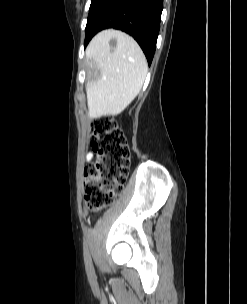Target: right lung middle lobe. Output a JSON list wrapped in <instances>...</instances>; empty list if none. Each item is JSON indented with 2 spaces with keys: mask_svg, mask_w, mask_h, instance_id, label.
Masks as SVG:
<instances>
[{
  "mask_svg": "<svg viewBox=\"0 0 247 304\" xmlns=\"http://www.w3.org/2000/svg\"><path fill=\"white\" fill-rule=\"evenodd\" d=\"M97 0H91V5H90V9L89 12L91 11V9L93 8V6L95 5Z\"/></svg>",
  "mask_w": 247,
  "mask_h": 304,
  "instance_id": "dd1d6c3e",
  "label": "right lung middle lobe"
}]
</instances>
